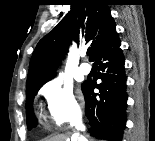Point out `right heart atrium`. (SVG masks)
Returning a JSON list of instances; mask_svg holds the SVG:
<instances>
[{
    "instance_id": "right-heart-atrium-1",
    "label": "right heart atrium",
    "mask_w": 155,
    "mask_h": 141,
    "mask_svg": "<svg viewBox=\"0 0 155 141\" xmlns=\"http://www.w3.org/2000/svg\"><path fill=\"white\" fill-rule=\"evenodd\" d=\"M45 100L49 119L57 126L75 123L80 118V106L72 85L63 78L57 77L40 89Z\"/></svg>"
}]
</instances>
